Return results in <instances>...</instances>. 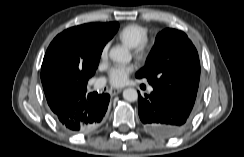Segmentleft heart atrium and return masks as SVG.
Returning <instances> with one entry per match:
<instances>
[{
  "mask_svg": "<svg viewBox=\"0 0 244 157\" xmlns=\"http://www.w3.org/2000/svg\"><path fill=\"white\" fill-rule=\"evenodd\" d=\"M134 64H127V65H116L114 66L109 74V81L110 84L114 87L123 86L130 75V73L134 70Z\"/></svg>",
  "mask_w": 244,
  "mask_h": 157,
  "instance_id": "39dd6f15",
  "label": "left heart atrium"
}]
</instances>
